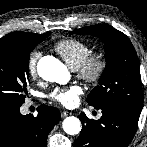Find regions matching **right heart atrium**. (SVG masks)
Here are the masks:
<instances>
[{
  "label": "right heart atrium",
  "mask_w": 147,
  "mask_h": 147,
  "mask_svg": "<svg viewBox=\"0 0 147 147\" xmlns=\"http://www.w3.org/2000/svg\"><path fill=\"white\" fill-rule=\"evenodd\" d=\"M41 54L39 51L34 50L30 53L27 61V70L31 77H35L37 75V63Z\"/></svg>",
  "instance_id": "1"
}]
</instances>
